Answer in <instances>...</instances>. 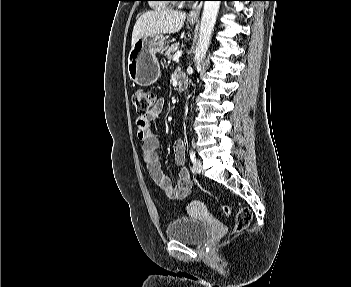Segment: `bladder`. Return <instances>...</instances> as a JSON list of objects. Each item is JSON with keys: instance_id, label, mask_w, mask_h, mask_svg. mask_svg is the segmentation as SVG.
<instances>
[{"instance_id": "31cf9c89", "label": "bladder", "mask_w": 351, "mask_h": 287, "mask_svg": "<svg viewBox=\"0 0 351 287\" xmlns=\"http://www.w3.org/2000/svg\"><path fill=\"white\" fill-rule=\"evenodd\" d=\"M209 234V226L200 218L179 217L170 222L166 228V236L187 244L201 243Z\"/></svg>"}]
</instances>
